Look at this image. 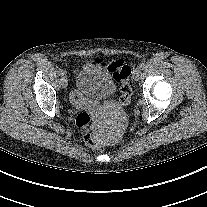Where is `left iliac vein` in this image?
Masks as SVG:
<instances>
[{"mask_svg": "<svg viewBox=\"0 0 207 207\" xmlns=\"http://www.w3.org/2000/svg\"><path fill=\"white\" fill-rule=\"evenodd\" d=\"M140 75H141V70L139 68H137L134 73H133V79L134 80H138L140 78Z\"/></svg>", "mask_w": 207, "mask_h": 207, "instance_id": "1", "label": "left iliac vein"}]
</instances>
